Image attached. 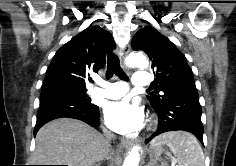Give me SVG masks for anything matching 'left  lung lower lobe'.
Returning <instances> with one entry per match:
<instances>
[{
  "instance_id": "obj_1",
  "label": "left lung lower lobe",
  "mask_w": 236,
  "mask_h": 166,
  "mask_svg": "<svg viewBox=\"0 0 236 166\" xmlns=\"http://www.w3.org/2000/svg\"><path fill=\"white\" fill-rule=\"evenodd\" d=\"M156 112L159 116L158 129L151 138L146 140V143L161 133L184 130L193 133L203 144V125L198 94L177 96Z\"/></svg>"
}]
</instances>
